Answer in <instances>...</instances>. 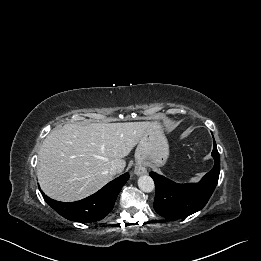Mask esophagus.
I'll list each match as a JSON object with an SVG mask.
<instances>
[{
    "instance_id": "obj_1",
    "label": "esophagus",
    "mask_w": 261,
    "mask_h": 261,
    "mask_svg": "<svg viewBox=\"0 0 261 261\" xmlns=\"http://www.w3.org/2000/svg\"><path fill=\"white\" fill-rule=\"evenodd\" d=\"M136 175H143L147 173L146 167L142 163H137L134 169Z\"/></svg>"
}]
</instances>
